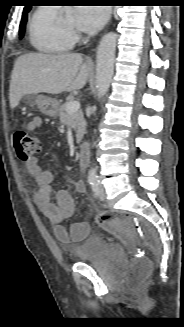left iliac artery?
I'll use <instances>...</instances> for the list:
<instances>
[{"instance_id": "44dca946", "label": "left iliac artery", "mask_w": 184, "mask_h": 327, "mask_svg": "<svg viewBox=\"0 0 184 327\" xmlns=\"http://www.w3.org/2000/svg\"><path fill=\"white\" fill-rule=\"evenodd\" d=\"M98 185H99V181L96 179L92 184V190H93V194L94 196H98L99 190H98Z\"/></svg>"}]
</instances>
